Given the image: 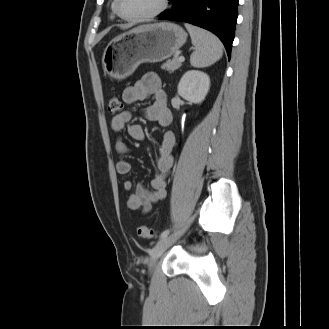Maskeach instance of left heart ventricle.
<instances>
[{"label":"left heart ventricle","mask_w":329,"mask_h":329,"mask_svg":"<svg viewBox=\"0 0 329 329\" xmlns=\"http://www.w3.org/2000/svg\"><path fill=\"white\" fill-rule=\"evenodd\" d=\"M160 3L161 0H120L119 8L123 15L135 17L155 11Z\"/></svg>","instance_id":"left-heart-ventricle-1"}]
</instances>
